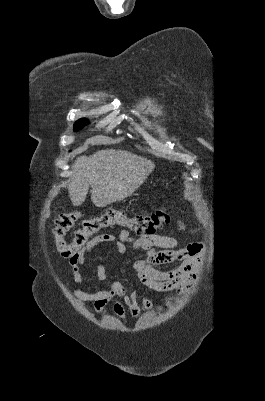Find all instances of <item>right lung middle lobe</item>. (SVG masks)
<instances>
[{"mask_svg": "<svg viewBox=\"0 0 265 401\" xmlns=\"http://www.w3.org/2000/svg\"><path fill=\"white\" fill-rule=\"evenodd\" d=\"M88 120L87 119H79L78 121L75 122L74 124V131H78L81 128H83L84 126H86L88 124Z\"/></svg>", "mask_w": 265, "mask_h": 401, "instance_id": "obj_1", "label": "right lung middle lobe"}]
</instances>
